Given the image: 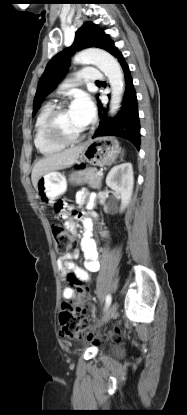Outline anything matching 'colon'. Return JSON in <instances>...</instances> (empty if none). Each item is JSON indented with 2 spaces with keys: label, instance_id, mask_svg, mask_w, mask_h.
<instances>
[{
  "label": "colon",
  "instance_id": "colon-1",
  "mask_svg": "<svg viewBox=\"0 0 187 415\" xmlns=\"http://www.w3.org/2000/svg\"><path fill=\"white\" fill-rule=\"evenodd\" d=\"M65 203H59L60 208H65ZM52 233L55 240L56 252L60 256L66 255L74 245V237L61 224L52 225ZM70 283L74 286L79 295H84L86 284L78 279L75 275L69 277ZM87 310L86 302L81 304L74 302H64L59 314L60 336L61 337H81L101 341L104 339L120 337V330L115 328L112 331L103 334L93 335L87 329L84 322V316Z\"/></svg>",
  "mask_w": 187,
  "mask_h": 415
}]
</instances>
